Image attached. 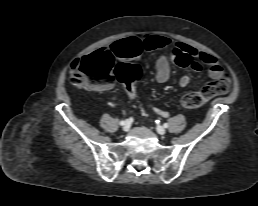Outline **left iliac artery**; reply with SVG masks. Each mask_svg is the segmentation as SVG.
<instances>
[{"label": "left iliac artery", "mask_w": 258, "mask_h": 206, "mask_svg": "<svg viewBox=\"0 0 258 206\" xmlns=\"http://www.w3.org/2000/svg\"><path fill=\"white\" fill-rule=\"evenodd\" d=\"M164 127H165V128H168V124H167V123H164Z\"/></svg>", "instance_id": "left-iliac-artery-1"}]
</instances>
